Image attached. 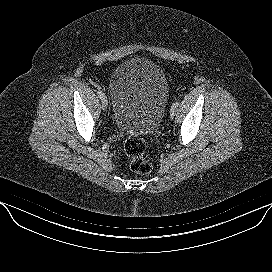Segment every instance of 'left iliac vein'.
<instances>
[{
	"instance_id": "1",
	"label": "left iliac vein",
	"mask_w": 272,
	"mask_h": 272,
	"mask_svg": "<svg viewBox=\"0 0 272 272\" xmlns=\"http://www.w3.org/2000/svg\"><path fill=\"white\" fill-rule=\"evenodd\" d=\"M175 113H176V108L171 107V109H170V117L173 118V116L175 115Z\"/></svg>"
}]
</instances>
